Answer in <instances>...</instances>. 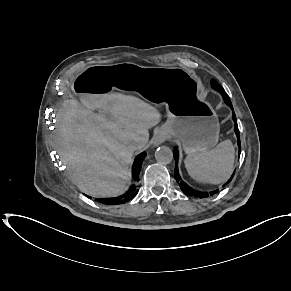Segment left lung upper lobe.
<instances>
[{"mask_svg": "<svg viewBox=\"0 0 291 291\" xmlns=\"http://www.w3.org/2000/svg\"><path fill=\"white\" fill-rule=\"evenodd\" d=\"M211 86L213 89L217 90L218 92H224L222 86L214 79L211 80Z\"/></svg>", "mask_w": 291, "mask_h": 291, "instance_id": "5c2ea615", "label": "left lung upper lobe"}]
</instances>
